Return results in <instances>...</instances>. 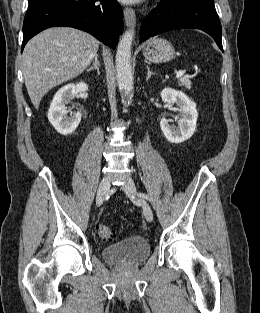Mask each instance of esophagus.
<instances>
[{"instance_id": "34e87169", "label": "esophagus", "mask_w": 260, "mask_h": 313, "mask_svg": "<svg viewBox=\"0 0 260 313\" xmlns=\"http://www.w3.org/2000/svg\"><path fill=\"white\" fill-rule=\"evenodd\" d=\"M124 19H125V23L128 27L129 26H135V24H136L135 11L130 7H126L124 9Z\"/></svg>"}]
</instances>
